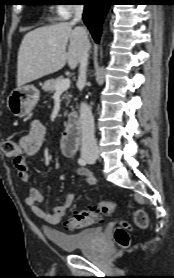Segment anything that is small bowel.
Wrapping results in <instances>:
<instances>
[{"instance_id": "1", "label": "small bowel", "mask_w": 174, "mask_h": 278, "mask_svg": "<svg viewBox=\"0 0 174 278\" xmlns=\"http://www.w3.org/2000/svg\"><path fill=\"white\" fill-rule=\"evenodd\" d=\"M45 135V126L40 121H33L29 132L19 141L21 154L14 158V166L16 167L19 179L23 183H28L31 179V172L27 158L35 155L40 150ZM77 173L82 177L85 184L94 185L96 183L95 176L89 170L85 168H79ZM74 199L75 192L69 191L65 195L63 204L56 205L51 210H44L38 206V204L44 200L43 193L38 188L31 187L27 197L25 198V203L41 220L49 224H57L61 221L67 209L72 205Z\"/></svg>"}]
</instances>
